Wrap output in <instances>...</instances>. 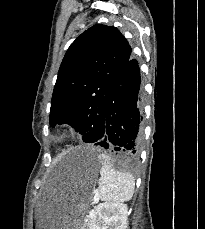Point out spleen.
<instances>
[{"mask_svg": "<svg viewBox=\"0 0 205 229\" xmlns=\"http://www.w3.org/2000/svg\"><path fill=\"white\" fill-rule=\"evenodd\" d=\"M98 159L102 167L98 182L99 189L95 191V197L107 202L130 200L135 188L133 176L129 173L117 172L104 154H100Z\"/></svg>", "mask_w": 205, "mask_h": 229, "instance_id": "obj_1", "label": "spleen"}]
</instances>
